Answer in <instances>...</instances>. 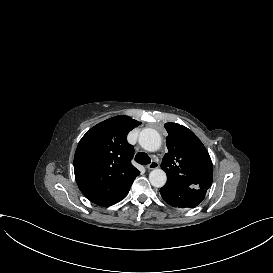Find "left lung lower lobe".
I'll list each match as a JSON object with an SVG mask.
<instances>
[{
	"mask_svg": "<svg viewBox=\"0 0 273 273\" xmlns=\"http://www.w3.org/2000/svg\"><path fill=\"white\" fill-rule=\"evenodd\" d=\"M207 190L188 187L167 181L160 189L162 198L173 207L193 208L205 197Z\"/></svg>",
	"mask_w": 273,
	"mask_h": 273,
	"instance_id": "obj_1",
	"label": "left lung lower lobe"
}]
</instances>
